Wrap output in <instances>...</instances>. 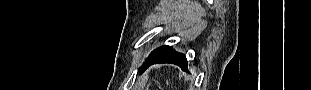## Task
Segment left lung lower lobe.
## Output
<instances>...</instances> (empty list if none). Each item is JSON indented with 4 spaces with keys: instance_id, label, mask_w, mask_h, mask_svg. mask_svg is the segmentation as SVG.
Returning <instances> with one entry per match:
<instances>
[{
    "instance_id": "left-lung-lower-lobe-1",
    "label": "left lung lower lobe",
    "mask_w": 311,
    "mask_h": 90,
    "mask_svg": "<svg viewBox=\"0 0 311 90\" xmlns=\"http://www.w3.org/2000/svg\"><path fill=\"white\" fill-rule=\"evenodd\" d=\"M155 63H172L179 65L182 69L187 70V60L183 54L175 52L171 46H161L155 49L146 59L141 71L147 69Z\"/></svg>"
}]
</instances>
